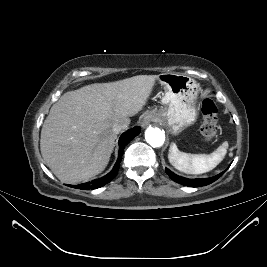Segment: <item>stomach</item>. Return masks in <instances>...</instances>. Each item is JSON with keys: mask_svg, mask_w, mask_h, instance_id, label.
I'll list each match as a JSON object with an SVG mask.
<instances>
[{"mask_svg": "<svg viewBox=\"0 0 267 267\" xmlns=\"http://www.w3.org/2000/svg\"><path fill=\"white\" fill-rule=\"evenodd\" d=\"M158 80L164 88L161 101L168 108L152 113L155 120L167 119L170 131L178 134L197 119L195 102L198 85L189 76L177 73L161 74Z\"/></svg>", "mask_w": 267, "mask_h": 267, "instance_id": "stomach-1", "label": "stomach"}]
</instances>
